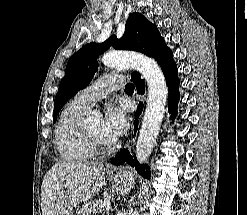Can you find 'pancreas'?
I'll list each match as a JSON object with an SVG mask.
<instances>
[{"label":"pancreas","instance_id":"cf45deb5","mask_svg":"<svg viewBox=\"0 0 247 215\" xmlns=\"http://www.w3.org/2000/svg\"><path fill=\"white\" fill-rule=\"evenodd\" d=\"M102 200H92L89 203H86L81 208L82 215H94L101 213L105 210V207H101Z\"/></svg>","mask_w":247,"mask_h":215}]
</instances>
